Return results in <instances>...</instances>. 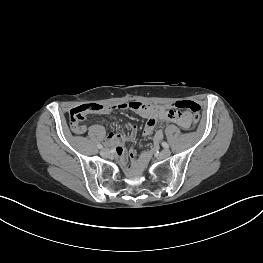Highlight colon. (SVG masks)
Here are the masks:
<instances>
[{
    "instance_id": "colon-1",
    "label": "colon",
    "mask_w": 263,
    "mask_h": 263,
    "mask_svg": "<svg viewBox=\"0 0 263 263\" xmlns=\"http://www.w3.org/2000/svg\"><path fill=\"white\" fill-rule=\"evenodd\" d=\"M103 107L100 104L89 103L73 108L70 111L69 118L73 131L78 134L85 132L86 128L80 124L88 113L100 111ZM175 108L190 112L191 119L196 122L200 117V105L192 100H180L175 103Z\"/></svg>"
}]
</instances>
